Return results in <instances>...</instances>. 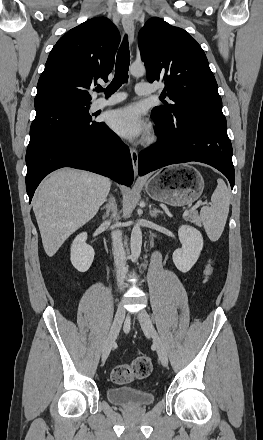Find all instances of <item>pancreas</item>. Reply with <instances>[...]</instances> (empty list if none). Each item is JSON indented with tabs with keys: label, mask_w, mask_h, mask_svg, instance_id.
Listing matches in <instances>:
<instances>
[{
	"label": "pancreas",
	"mask_w": 263,
	"mask_h": 440,
	"mask_svg": "<svg viewBox=\"0 0 263 440\" xmlns=\"http://www.w3.org/2000/svg\"><path fill=\"white\" fill-rule=\"evenodd\" d=\"M188 219L190 220V222L196 224L197 226H201V219L197 211L191 212L188 215Z\"/></svg>",
	"instance_id": "pancreas-1"
}]
</instances>
